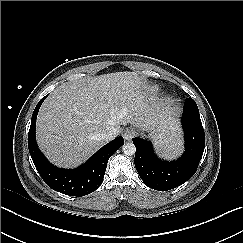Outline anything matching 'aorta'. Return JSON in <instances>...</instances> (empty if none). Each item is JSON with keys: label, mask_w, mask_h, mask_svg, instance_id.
<instances>
[{"label": "aorta", "mask_w": 243, "mask_h": 243, "mask_svg": "<svg viewBox=\"0 0 243 243\" xmlns=\"http://www.w3.org/2000/svg\"><path fill=\"white\" fill-rule=\"evenodd\" d=\"M122 151L126 156H132L136 152V147L133 143L127 142L122 146Z\"/></svg>", "instance_id": "obj_1"}]
</instances>
